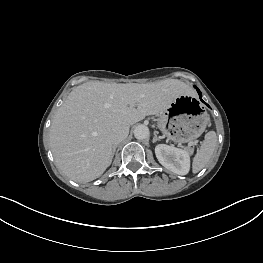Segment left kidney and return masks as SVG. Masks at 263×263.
I'll use <instances>...</instances> for the list:
<instances>
[{
  "label": "left kidney",
  "mask_w": 263,
  "mask_h": 263,
  "mask_svg": "<svg viewBox=\"0 0 263 263\" xmlns=\"http://www.w3.org/2000/svg\"><path fill=\"white\" fill-rule=\"evenodd\" d=\"M156 157L161 165L178 175H186L190 169V154L183 149L159 144L155 147Z\"/></svg>",
  "instance_id": "5707ae66"
}]
</instances>
